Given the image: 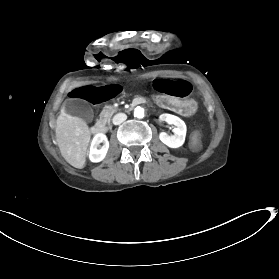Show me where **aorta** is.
Returning a JSON list of instances; mask_svg holds the SVG:
<instances>
[{"label":"aorta","mask_w":279,"mask_h":279,"mask_svg":"<svg viewBox=\"0 0 279 279\" xmlns=\"http://www.w3.org/2000/svg\"><path fill=\"white\" fill-rule=\"evenodd\" d=\"M134 116L137 118H143L144 117V108L138 106L134 109Z\"/></svg>","instance_id":"obj_1"}]
</instances>
